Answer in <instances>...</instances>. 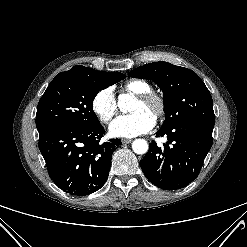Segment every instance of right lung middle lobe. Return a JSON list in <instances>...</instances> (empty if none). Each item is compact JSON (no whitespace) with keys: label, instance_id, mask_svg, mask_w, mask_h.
<instances>
[{"label":"right lung middle lobe","instance_id":"dd1d6c3e","mask_svg":"<svg viewBox=\"0 0 247 247\" xmlns=\"http://www.w3.org/2000/svg\"><path fill=\"white\" fill-rule=\"evenodd\" d=\"M125 77L96 76L72 70L59 73L38 103L36 126L39 134L59 127L99 124L92 108L95 96Z\"/></svg>","mask_w":247,"mask_h":247}]
</instances>
